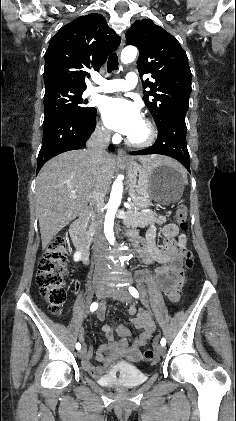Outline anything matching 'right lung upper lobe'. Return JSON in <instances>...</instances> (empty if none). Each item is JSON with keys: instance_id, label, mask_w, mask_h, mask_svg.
Here are the masks:
<instances>
[{"instance_id": "1", "label": "right lung upper lobe", "mask_w": 236, "mask_h": 421, "mask_svg": "<svg viewBox=\"0 0 236 421\" xmlns=\"http://www.w3.org/2000/svg\"><path fill=\"white\" fill-rule=\"evenodd\" d=\"M120 41L101 14L82 16L63 26L45 53V87L85 90V70H99Z\"/></svg>"}]
</instances>
